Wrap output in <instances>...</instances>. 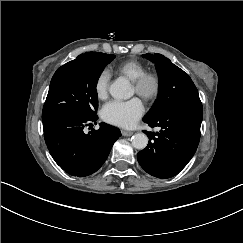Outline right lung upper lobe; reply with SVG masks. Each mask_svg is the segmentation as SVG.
Listing matches in <instances>:
<instances>
[{
	"mask_svg": "<svg viewBox=\"0 0 243 243\" xmlns=\"http://www.w3.org/2000/svg\"><path fill=\"white\" fill-rule=\"evenodd\" d=\"M101 53L99 52H86L84 54H81L79 55L75 60L73 61H77V60H83V59H89V58H92V57H95L97 55H99Z\"/></svg>",
	"mask_w": 243,
	"mask_h": 243,
	"instance_id": "obj_1",
	"label": "right lung upper lobe"
}]
</instances>
